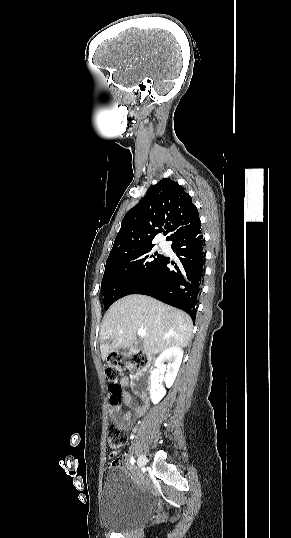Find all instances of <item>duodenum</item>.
Returning <instances> with one entry per match:
<instances>
[{
	"label": "duodenum",
	"instance_id": "duodenum-1",
	"mask_svg": "<svg viewBox=\"0 0 291 538\" xmlns=\"http://www.w3.org/2000/svg\"><path fill=\"white\" fill-rule=\"evenodd\" d=\"M127 353H130V349L125 350ZM148 364L144 365V372L146 374H142L141 372H136L135 374H131V377L133 378V386L134 391L133 394L136 397L142 396L144 399H146V393L151 392L153 388V379L149 377V374L151 370L154 368L153 365V356H147Z\"/></svg>",
	"mask_w": 291,
	"mask_h": 538
}]
</instances>
